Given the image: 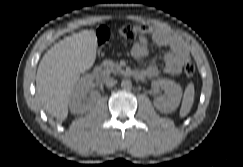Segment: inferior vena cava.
Wrapping results in <instances>:
<instances>
[{
	"label": "inferior vena cava",
	"instance_id": "602c4592",
	"mask_svg": "<svg viewBox=\"0 0 243 167\" xmlns=\"http://www.w3.org/2000/svg\"><path fill=\"white\" fill-rule=\"evenodd\" d=\"M116 83H117V81H116L115 79L110 78V79H108V80L106 81V86H107V87H112V86H114Z\"/></svg>",
	"mask_w": 243,
	"mask_h": 167
}]
</instances>
